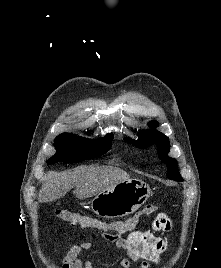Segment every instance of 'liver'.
Returning <instances> with one entry per match:
<instances>
[{
	"mask_svg": "<svg viewBox=\"0 0 221 268\" xmlns=\"http://www.w3.org/2000/svg\"><path fill=\"white\" fill-rule=\"evenodd\" d=\"M128 180L130 176L126 171L111 166L92 165L62 173L50 172L39 191L38 201L43 203L60 199L74 187L76 197L86 199Z\"/></svg>",
	"mask_w": 221,
	"mask_h": 268,
	"instance_id": "6515ba94",
	"label": "liver"
}]
</instances>
